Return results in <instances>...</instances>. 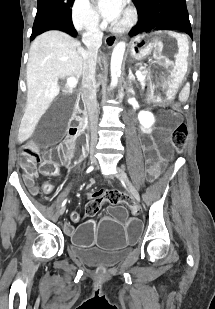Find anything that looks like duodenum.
I'll use <instances>...</instances> for the list:
<instances>
[{"label": "duodenum", "instance_id": "410a0bca", "mask_svg": "<svg viewBox=\"0 0 215 309\" xmlns=\"http://www.w3.org/2000/svg\"><path fill=\"white\" fill-rule=\"evenodd\" d=\"M81 133V129L79 127V125L77 124V122H75L71 128V134L72 135H80Z\"/></svg>", "mask_w": 215, "mask_h": 309}]
</instances>
